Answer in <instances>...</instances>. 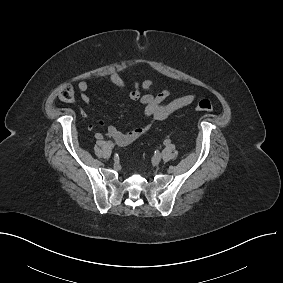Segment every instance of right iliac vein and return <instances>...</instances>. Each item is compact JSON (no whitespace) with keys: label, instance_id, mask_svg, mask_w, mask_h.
I'll list each match as a JSON object with an SVG mask.
<instances>
[{"label":"right iliac vein","instance_id":"63e3f726","mask_svg":"<svg viewBox=\"0 0 283 283\" xmlns=\"http://www.w3.org/2000/svg\"><path fill=\"white\" fill-rule=\"evenodd\" d=\"M107 144H108V146L111 147V148L114 147V144H113L111 141H108Z\"/></svg>","mask_w":283,"mask_h":283}]
</instances>
